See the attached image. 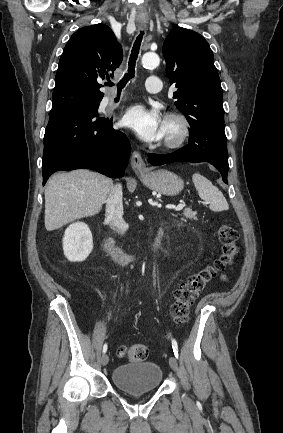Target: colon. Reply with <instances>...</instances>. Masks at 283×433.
<instances>
[{
    "instance_id": "1",
    "label": "colon",
    "mask_w": 283,
    "mask_h": 433,
    "mask_svg": "<svg viewBox=\"0 0 283 433\" xmlns=\"http://www.w3.org/2000/svg\"><path fill=\"white\" fill-rule=\"evenodd\" d=\"M217 233L221 243V255L210 265L190 275L175 291L171 315L178 326L187 322L190 307L205 286L224 271L238 253L239 234L233 226L222 224ZM119 353L130 361H142L148 357L150 348L146 344H133L121 347Z\"/></svg>"
}]
</instances>
